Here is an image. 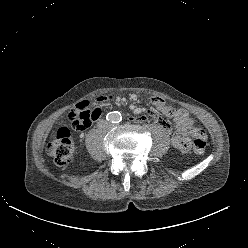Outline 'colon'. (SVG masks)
<instances>
[{"instance_id": "colon-1", "label": "colon", "mask_w": 248, "mask_h": 248, "mask_svg": "<svg viewBox=\"0 0 248 248\" xmlns=\"http://www.w3.org/2000/svg\"><path fill=\"white\" fill-rule=\"evenodd\" d=\"M102 100L108 99L104 96ZM98 115V107L93 106L88 101L77 103L68 113V119L73 129L85 131ZM206 134L202 129H196L193 133V151L200 155L206 148ZM47 151L60 166L68 165L74 156L75 144L71 138L68 128L60 127L54 138L48 143Z\"/></svg>"}]
</instances>
